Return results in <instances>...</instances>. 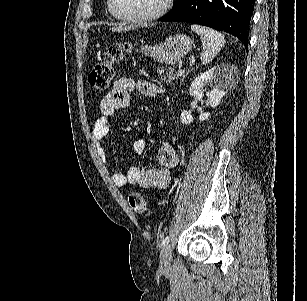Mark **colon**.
Segmentation results:
<instances>
[{
	"mask_svg": "<svg viewBox=\"0 0 307 301\" xmlns=\"http://www.w3.org/2000/svg\"><path fill=\"white\" fill-rule=\"evenodd\" d=\"M131 51L128 43L111 45L105 56L91 70L88 82L91 87L104 91L114 78L115 65L121 61ZM131 208L138 214H145L148 211L147 201L144 195L138 191H133L128 196Z\"/></svg>",
	"mask_w": 307,
	"mask_h": 301,
	"instance_id": "colon-1",
	"label": "colon"
}]
</instances>
